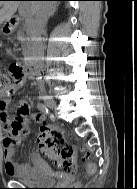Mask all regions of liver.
<instances>
[{
	"mask_svg": "<svg viewBox=\"0 0 137 189\" xmlns=\"http://www.w3.org/2000/svg\"><path fill=\"white\" fill-rule=\"evenodd\" d=\"M19 5H20L19 1H4V2L0 1V7L2 6V8L0 9V25L4 21L11 19V17L16 12ZM30 5L32 12L36 14V12L40 10L45 5V3L41 1H37V2H30Z\"/></svg>",
	"mask_w": 137,
	"mask_h": 189,
	"instance_id": "1",
	"label": "liver"
}]
</instances>
